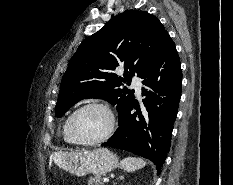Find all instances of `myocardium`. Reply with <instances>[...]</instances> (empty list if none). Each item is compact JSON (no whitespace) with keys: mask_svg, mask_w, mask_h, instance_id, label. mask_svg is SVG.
I'll return each instance as SVG.
<instances>
[{"mask_svg":"<svg viewBox=\"0 0 233 185\" xmlns=\"http://www.w3.org/2000/svg\"><path fill=\"white\" fill-rule=\"evenodd\" d=\"M89 108H101L104 111H106L108 116H109V119H110V124H109L107 131L104 134H102L101 136H99L97 138H93V139L84 140V139L79 138L75 134V132L73 130V122H74L75 117L81 111H83L85 109H89ZM115 128H116V117H115L113 110L106 103L99 102V101H92V102H89V103H86V104L80 106L79 108H77L76 110H74L70 114V116L68 118V122H67V130H68V134H69L70 138L75 143L80 144V145H95V144L104 142L113 135Z\"/></svg>","mask_w":233,"mask_h":185,"instance_id":"1","label":"myocardium"}]
</instances>
